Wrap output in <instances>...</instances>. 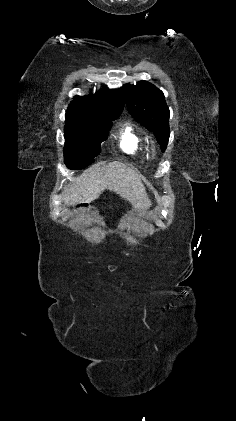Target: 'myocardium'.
<instances>
[{
    "label": "myocardium",
    "mask_w": 236,
    "mask_h": 421,
    "mask_svg": "<svg viewBox=\"0 0 236 421\" xmlns=\"http://www.w3.org/2000/svg\"><path fill=\"white\" fill-rule=\"evenodd\" d=\"M152 153H153V154H155V153H156L155 148H152Z\"/></svg>",
    "instance_id": "obj_1"
}]
</instances>
